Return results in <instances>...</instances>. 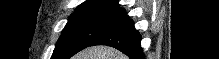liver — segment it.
Listing matches in <instances>:
<instances>
[{
	"instance_id": "1",
	"label": "liver",
	"mask_w": 219,
	"mask_h": 59,
	"mask_svg": "<svg viewBox=\"0 0 219 59\" xmlns=\"http://www.w3.org/2000/svg\"><path fill=\"white\" fill-rule=\"evenodd\" d=\"M73 59H128L120 51L107 46H94L87 48L78 54Z\"/></svg>"
}]
</instances>
